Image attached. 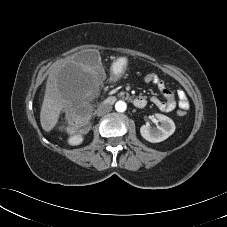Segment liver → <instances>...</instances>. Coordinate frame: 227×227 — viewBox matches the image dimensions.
<instances>
[{"mask_svg": "<svg viewBox=\"0 0 227 227\" xmlns=\"http://www.w3.org/2000/svg\"><path fill=\"white\" fill-rule=\"evenodd\" d=\"M94 74L90 67L79 65L73 57L56 62L47 79L40 112L44 131L49 132L56 126L61 111L80 96L82 82Z\"/></svg>", "mask_w": 227, "mask_h": 227, "instance_id": "obj_1", "label": "liver"}]
</instances>
